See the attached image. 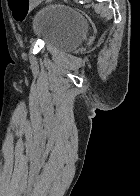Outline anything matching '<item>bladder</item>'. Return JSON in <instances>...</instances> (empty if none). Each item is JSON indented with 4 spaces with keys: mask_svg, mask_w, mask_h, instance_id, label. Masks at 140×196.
I'll use <instances>...</instances> for the list:
<instances>
[{
    "mask_svg": "<svg viewBox=\"0 0 140 196\" xmlns=\"http://www.w3.org/2000/svg\"><path fill=\"white\" fill-rule=\"evenodd\" d=\"M34 34L47 47L71 52L83 44L87 22L80 11L59 3L39 11L34 23Z\"/></svg>",
    "mask_w": 140,
    "mask_h": 196,
    "instance_id": "1",
    "label": "bladder"
}]
</instances>
